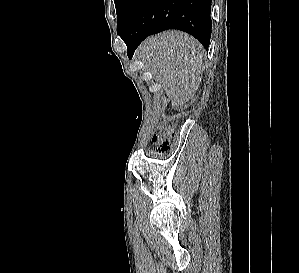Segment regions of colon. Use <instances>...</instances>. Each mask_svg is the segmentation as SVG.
Returning a JSON list of instances; mask_svg holds the SVG:
<instances>
[{
  "instance_id": "colon-1",
  "label": "colon",
  "mask_w": 299,
  "mask_h": 273,
  "mask_svg": "<svg viewBox=\"0 0 299 273\" xmlns=\"http://www.w3.org/2000/svg\"><path fill=\"white\" fill-rule=\"evenodd\" d=\"M173 138V127L171 125H161L153 135L152 141L156 145L157 152L164 154Z\"/></svg>"
}]
</instances>
